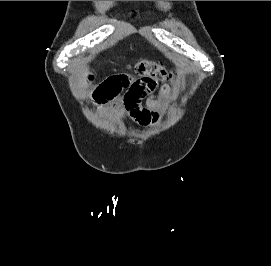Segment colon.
I'll list each match as a JSON object with an SVG mask.
<instances>
[{"label":"colon","instance_id":"colon-1","mask_svg":"<svg viewBox=\"0 0 271 266\" xmlns=\"http://www.w3.org/2000/svg\"><path fill=\"white\" fill-rule=\"evenodd\" d=\"M137 73L147 76L158 77L161 79H174L175 71L167 70L161 63L154 61L142 60L135 65Z\"/></svg>","mask_w":271,"mask_h":266}]
</instances>
